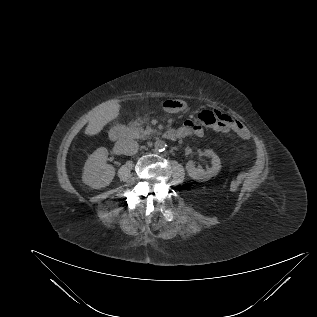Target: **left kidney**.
<instances>
[{"label": "left kidney", "mask_w": 317, "mask_h": 317, "mask_svg": "<svg viewBox=\"0 0 317 317\" xmlns=\"http://www.w3.org/2000/svg\"><path fill=\"white\" fill-rule=\"evenodd\" d=\"M205 154L212 158L211 168L207 170L197 168L193 161H188L186 164L187 173L193 180H198V181L208 180L211 177L216 176L221 169L220 159L212 150H209V149L205 150Z\"/></svg>", "instance_id": "obj_1"}]
</instances>
